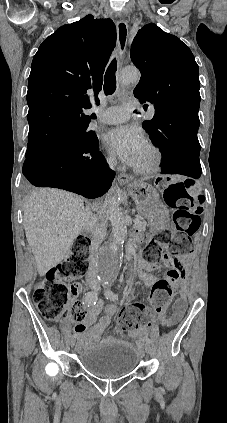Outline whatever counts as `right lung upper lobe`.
Instances as JSON below:
<instances>
[{
    "label": "right lung upper lobe",
    "instance_id": "obj_1",
    "mask_svg": "<svg viewBox=\"0 0 227 423\" xmlns=\"http://www.w3.org/2000/svg\"><path fill=\"white\" fill-rule=\"evenodd\" d=\"M116 44L112 21L83 19L50 35L35 54L28 81L26 155L70 145L87 135L90 92L102 88L104 69Z\"/></svg>",
    "mask_w": 227,
    "mask_h": 423
}]
</instances>
